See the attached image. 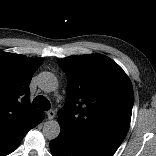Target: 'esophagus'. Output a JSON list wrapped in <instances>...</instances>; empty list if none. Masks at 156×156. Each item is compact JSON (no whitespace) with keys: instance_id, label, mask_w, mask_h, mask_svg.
Segmentation results:
<instances>
[{"instance_id":"34e87169","label":"esophagus","mask_w":156,"mask_h":156,"mask_svg":"<svg viewBox=\"0 0 156 156\" xmlns=\"http://www.w3.org/2000/svg\"><path fill=\"white\" fill-rule=\"evenodd\" d=\"M55 115H56V113H55L54 110H49V111L47 112V116H48V118H49L50 120L53 119V118L55 117Z\"/></svg>"}]
</instances>
